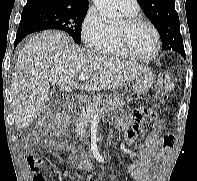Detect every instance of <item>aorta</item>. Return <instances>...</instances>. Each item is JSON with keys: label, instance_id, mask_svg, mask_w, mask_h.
Listing matches in <instances>:
<instances>
[{"label": "aorta", "instance_id": "762f6f07", "mask_svg": "<svg viewBox=\"0 0 197 181\" xmlns=\"http://www.w3.org/2000/svg\"><path fill=\"white\" fill-rule=\"evenodd\" d=\"M93 3L106 22L112 24L121 22V13L116 0H93Z\"/></svg>", "mask_w": 197, "mask_h": 181}]
</instances>
